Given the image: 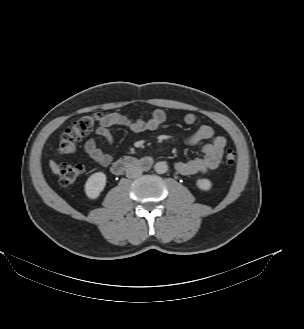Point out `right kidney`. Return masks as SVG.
Segmentation results:
<instances>
[{
	"label": "right kidney",
	"mask_w": 304,
	"mask_h": 329,
	"mask_svg": "<svg viewBox=\"0 0 304 329\" xmlns=\"http://www.w3.org/2000/svg\"><path fill=\"white\" fill-rule=\"evenodd\" d=\"M106 185V175L103 172L92 174L86 181L85 192L90 199H96Z\"/></svg>",
	"instance_id": "obj_1"
}]
</instances>
